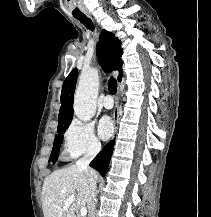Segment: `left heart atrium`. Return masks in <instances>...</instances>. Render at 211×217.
Here are the masks:
<instances>
[{
  "label": "left heart atrium",
  "instance_id": "obj_1",
  "mask_svg": "<svg viewBox=\"0 0 211 217\" xmlns=\"http://www.w3.org/2000/svg\"><path fill=\"white\" fill-rule=\"evenodd\" d=\"M98 132L102 139L107 140L113 133V123L108 116H104L100 119L98 125Z\"/></svg>",
  "mask_w": 211,
  "mask_h": 217
}]
</instances>
